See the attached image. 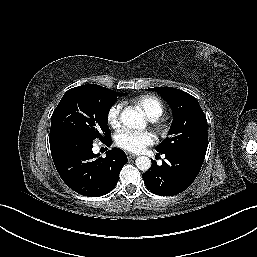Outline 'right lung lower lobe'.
I'll use <instances>...</instances> for the list:
<instances>
[{
	"instance_id": "1",
	"label": "right lung lower lobe",
	"mask_w": 257,
	"mask_h": 257,
	"mask_svg": "<svg viewBox=\"0 0 257 257\" xmlns=\"http://www.w3.org/2000/svg\"><path fill=\"white\" fill-rule=\"evenodd\" d=\"M111 139L103 143L111 144ZM93 141L77 136L50 140L55 167L65 184L83 196L99 197L117 185L119 173L128 162L119 148L107 152L105 158L92 152Z\"/></svg>"
}]
</instances>
